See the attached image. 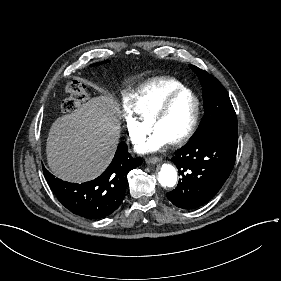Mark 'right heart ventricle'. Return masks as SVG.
Masks as SVG:
<instances>
[{
	"instance_id": "e07e8e85",
	"label": "right heart ventricle",
	"mask_w": 281,
	"mask_h": 281,
	"mask_svg": "<svg viewBox=\"0 0 281 281\" xmlns=\"http://www.w3.org/2000/svg\"><path fill=\"white\" fill-rule=\"evenodd\" d=\"M184 88L186 86L175 78L160 79L147 88L127 94L126 103L144 126L148 117L168 96Z\"/></svg>"
}]
</instances>
